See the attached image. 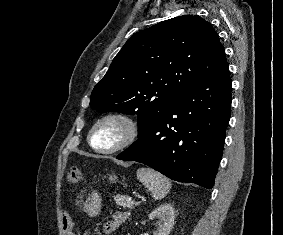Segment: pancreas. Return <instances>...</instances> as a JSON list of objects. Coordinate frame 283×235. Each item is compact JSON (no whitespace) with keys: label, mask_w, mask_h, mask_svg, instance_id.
<instances>
[{"label":"pancreas","mask_w":283,"mask_h":235,"mask_svg":"<svg viewBox=\"0 0 283 235\" xmlns=\"http://www.w3.org/2000/svg\"><path fill=\"white\" fill-rule=\"evenodd\" d=\"M114 200L118 206H122L123 208L134 209L137 204L129 200L128 196L125 195H116L114 196Z\"/></svg>","instance_id":"1"}]
</instances>
